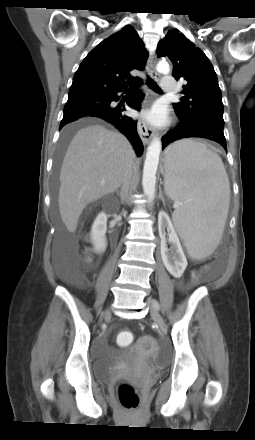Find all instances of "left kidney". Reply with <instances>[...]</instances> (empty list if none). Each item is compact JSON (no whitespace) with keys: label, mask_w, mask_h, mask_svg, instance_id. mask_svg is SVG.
<instances>
[{"label":"left kidney","mask_w":255,"mask_h":440,"mask_svg":"<svg viewBox=\"0 0 255 440\" xmlns=\"http://www.w3.org/2000/svg\"><path fill=\"white\" fill-rule=\"evenodd\" d=\"M158 225L160 233H162L163 229H167L169 236L168 241L172 244L173 250V252H169L166 241L163 236H161L162 261L172 276L175 278H180L183 275L188 263L172 222L167 213L164 211L159 213Z\"/></svg>","instance_id":"obj_1"}]
</instances>
